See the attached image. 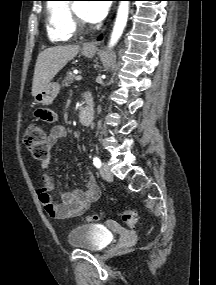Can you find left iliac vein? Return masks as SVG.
Instances as JSON below:
<instances>
[{"label": "left iliac vein", "instance_id": "1", "mask_svg": "<svg viewBox=\"0 0 216 285\" xmlns=\"http://www.w3.org/2000/svg\"><path fill=\"white\" fill-rule=\"evenodd\" d=\"M100 174L102 178L106 181H111L113 178L112 173L106 163H102L100 167Z\"/></svg>", "mask_w": 216, "mask_h": 285}]
</instances>
